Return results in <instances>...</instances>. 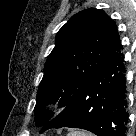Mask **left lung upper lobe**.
I'll return each mask as SVG.
<instances>
[{
    "instance_id": "1",
    "label": "left lung upper lobe",
    "mask_w": 136,
    "mask_h": 136,
    "mask_svg": "<svg viewBox=\"0 0 136 136\" xmlns=\"http://www.w3.org/2000/svg\"><path fill=\"white\" fill-rule=\"evenodd\" d=\"M117 37L115 22L95 8L75 14L59 30L37 93V126H44L53 117L45 111L47 104L59 100L60 107H65L74 99L102 65Z\"/></svg>"
}]
</instances>
